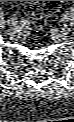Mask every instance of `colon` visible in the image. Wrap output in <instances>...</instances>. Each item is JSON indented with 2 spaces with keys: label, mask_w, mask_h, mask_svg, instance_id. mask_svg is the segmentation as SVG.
Listing matches in <instances>:
<instances>
[{
  "label": "colon",
  "mask_w": 74,
  "mask_h": 122,
  "mask_svg": "<svg viewBox=\"0 0 74 122\" xmlns=\"http://www.w3.org/2000/svg\"><path fill=\"white\" fill-rule=\"evenodd\" d=\"M57 6V1H27L24 11L29 16L42 17L56 10Z\"/></svg>",
  "instance_id": "colon-1"
}]
</instances>
